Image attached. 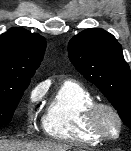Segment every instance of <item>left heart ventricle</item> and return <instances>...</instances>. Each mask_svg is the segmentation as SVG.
<instances>
[{
	"label": "left heart ventricle",
	"instance_id": "left-heart-ventricle-1",
	"mask_svg": "<svg viewBox=\"0 0 131 151\" xmlns=\"http://www.w3.org/2000/svg\"><path fill=\"white\" fill-rule=\"evenodd\" d=\"M100 124L102 128L109 134H115L117 132V122L115 118L107 112L101 114Z\"/></svg>",
	"mask_w": 131,
	"mask_h": 151
}]
</instances>
